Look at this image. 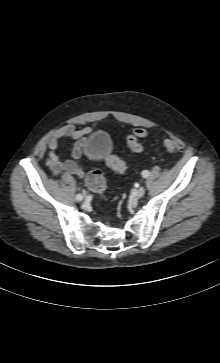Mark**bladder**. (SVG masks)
I'll return each mask as SVG.
<instances>
[{"label": "bladder", "mask_w": 220, "mask_h": 363, "mask_svg": "<svg viewBox=\"0 0 220 363\" xmlns=\"http://www.w3.org/2000/svg\"><path fill=\"white\" fill-rule=\"evenodd\" d=\"M110 147L111 141L108 134L98 130L87 138L83 151L92 159H102L109 153Z\"/></svg>", "instance_id": "bladder-1"}]
</instances>
